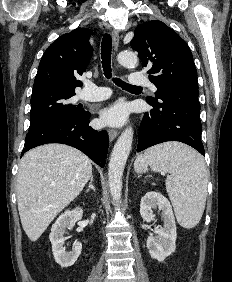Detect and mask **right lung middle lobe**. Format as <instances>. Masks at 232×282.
I'll list each match as a JSON object with an SVG mask.
<instances>
[{"mask_svg":"<svg viewBox=\"0 0 232 282\" xmlns=\"http://www.w3.org/2000/svg\"><path fill=\"white\" fill-rule=\"evenodd\" d=\"M74 90L46 89L33 91L31 96L30 127L38 128L60 116H82L86 111L81 104L70 102Z\"/></svg>","mask_w":232,"mask_h":282,"instance_id":"obj_1","label":"right lung middle lobe"}]
</instances>
